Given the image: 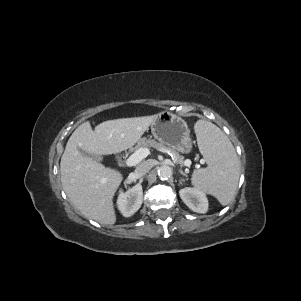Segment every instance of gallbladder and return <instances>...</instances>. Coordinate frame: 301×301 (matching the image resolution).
Segmentation results:
<instances>
[{"label":"gallbladder","instance_id":"1","mask_svg":"<svg viewBox=\"0 0 301 301\" xmlns=\"http://www.w3.org/2000/svg\"><path fill=\"white\" fill-rule=\"evenodd\" d=\"M80 153L83 156L91 157V158H93L96 161H101L102 160V158L99 155L89 154V153H87V152H85V151H83L81 149H80Z\"/></svg>","mask_w":301,"mask_h":301}]
</instances>
